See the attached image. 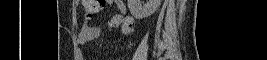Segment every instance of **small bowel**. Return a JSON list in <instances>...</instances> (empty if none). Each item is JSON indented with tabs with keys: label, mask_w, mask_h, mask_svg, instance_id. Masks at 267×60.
<instances>
[{
	"label": "small bowel",
	"mask_w": 267,
	"mask_h": 60,
	"mask_svg": "<svg viewBox=\"0 0 267 60\" xmlns=\"http://www.w3.org/2000/svg\"><path fill=\"white\" fill-rule=\"evenodd\" d=\"M107 5H116L119 13L114 15L108 26L110 29L121 27L123 34L129 35L133 31L134 18L127 14V7L121 0H106ZM101 35V28L98 25L92 24L89 20H85L82 24L81 30L78 35V40L81 44L95 40Z\"/></svg>",
	"instance_id": "obj_1"
}]
</instances>
